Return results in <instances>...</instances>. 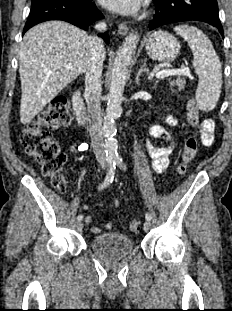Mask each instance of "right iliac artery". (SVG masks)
I'll return each mask as SVG.
<instances>
[{
    "instance_id": "1",
    "label": "right iliac artery",
    "mask_w": 232,
    "mask_h": 311,
    "mask_svg": "<svg viewBox=\"0 0 232 311\" xmlns=\"http://www.w3.org/2000/svg\"><path fill=\"white\" fill-rule=\"evenodd\" d=\"M87 147L88 146H86L84 149H87ZM108 163H109V169H108L107 175L105 177L104 182L99 186V189L106 188L113 181L115 169H116V162L115 160L111 159L108 161ZM82 219H83V215L82 214L78 215L77 220L81 221Z\"/></svg>"
}]
</instances>
